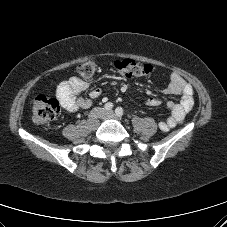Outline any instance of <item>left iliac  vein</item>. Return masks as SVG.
Wrapping results in <instances>:
<instances>
[{"label": "left iliac vein", "instance_id": "left-iliac-vein-1", "mask_svg": "<svg viewBox=\"0 0 227 227\" xmlns=\"http://www.w3.org/2000/svg\"><path fill=\"white\" fill-rule=\"evenodd\" d=\"M105 118H108V119H116V115L113 111H108L105 113Z\"/></svg>", "mask_w": 227, "mask_h": 227}]
</instances>
